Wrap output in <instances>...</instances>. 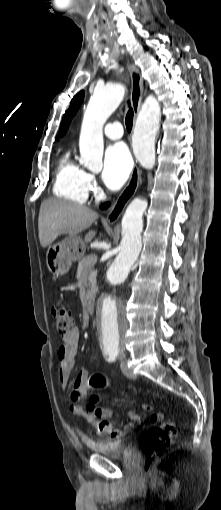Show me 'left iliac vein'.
I'll use <instances>...</instances> for the list:
<instances>
[{"mask_svg": "<svg viewBox=\"0 0 221 510\" xmlns=\"http://www.w3.org/2000/svg\"><path fill=\"white\" fill-rule=\"evenodd\" d=\"M120 366H121V370L124 373V375H126L128 378H131V379L136 378V374H134L133 371L128 367L125 360H121Z\"/></svg>", "mask_w": 221, "mask_h": 510, "instance_id": "left-iliac-vein-1", "label": "left iliac vein"}]
</instances>
